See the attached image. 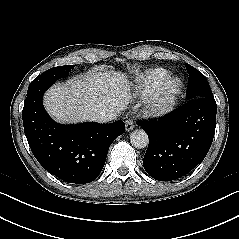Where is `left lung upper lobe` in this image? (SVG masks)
<instances>
[{"label":"left lung upper lobe","instance_id":"left-lung-upper-lobe-1","mask_svg":"<svg viewBox=\"0 0 239 239\" xmlns=\"http://www.w3.org/2000/svg\"><path fill=\"white\" fill-rule=\"evenodd\" d=\"M186 69L189 74L186 93L188 100L196 98H213V94L206 77L189 64H186Z\"/></svg>","mask_w":239,"mask_h":239}]
</instances>
